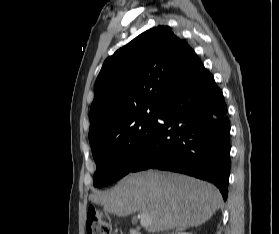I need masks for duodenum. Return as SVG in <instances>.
I'll return each instance as SVG.
<instances>
[{"instance_id": "duodenum-1", "label": "duodenum", "mask_w": 279, "mask_h": 234, "mask_svg": "<svg viewBox=\"0 0 279 234\" xmlns=\"http://www.w3.org/2000/svg\"><path fill=\"white\" fill-rule=\"evenodd\" d=\"M130 234H141L138 231L132 230Z\"/></svg>"}]
</instances>
